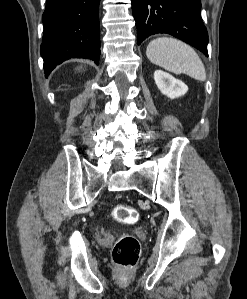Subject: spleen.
I'll return each mask as SVG.
<instances>
[{"mask_svg": "<svg viewBox=\"0 0 247 299\" xmlns=\"http://www.w3.org/2000/svg\"><path fill=\"white\" fill-rule=\"evenodd\" d=\"M148 59L155 65L175 74L185 73L199 80H206L205 67L196 51L174 38L152 40L146 49Z\"/></svg>", "mask_w": 247, "mask_h": 299, "instance_id": "1", "label": "spleen"}]
</instances>
